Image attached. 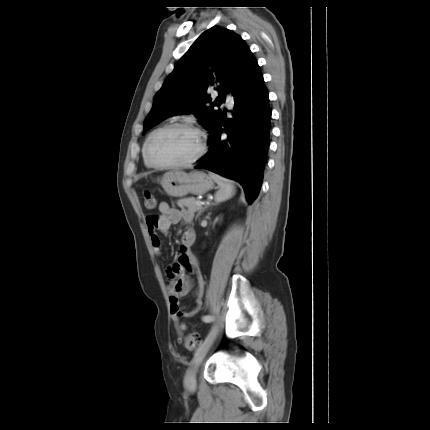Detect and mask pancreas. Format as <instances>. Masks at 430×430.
Instances as JSON below:
<instances>
[{"mask_svg": "<svg viewBox=\"0 0 430 430\" xmlns=\"http://www.w3.org/2000/svg\"><path fill=\"white\" fill-rule=\"evenodd\" d=\"M196 201L194 197L183 198L177 201V205L181 208L187 207L192 212L201 211L203 208L196 205Z\"/></svg>", "mask_w": 430, "mask_h": 430, "instance_id": "cf45deb5", "label": "pancreas"}]
</instances>
